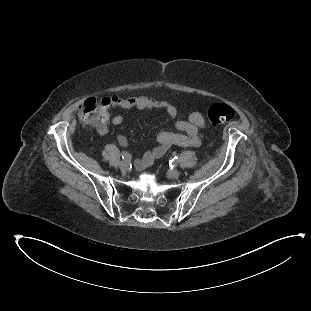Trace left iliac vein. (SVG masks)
I'll return each instance as SVG.
<instances>
[{"mask_svg": "<svg viewBox=\"0 0 311 311\" xmlns=\"http://www.w3.org/2000/svg\"><path fill=\"white\" fill-rule=\"evenodd\" d=\"M168 175H169L171 178H178L179 175H180V173H179V171L176 170V169H171V170H169Z\"/></svg>", "mask_w": 311, "mask_h": 311, "instance_id": "1", "label": "left iliac vein"}]
</instances>
